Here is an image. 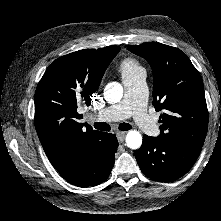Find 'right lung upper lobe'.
Segmentation results:
<instances>
[{
    "mask_svg": "<svg viewBox=\"0 0 221 221\" xmlns=\"http://www.w3.org/2000/svg\"><path fill=\"white\" fill-rule=\"evenodd\" d=\"M118 46L84 49L62 56L46 69L35 92V127L54 167L67 158L89 153L101 132L78 122L77 105H90L102 76Z\"/></svg>",
    "mask_w": 221,
    "mask_h": 221,
    "instance_id": "1",
    "label": "right lung upper lobe"
}]
</instances>
